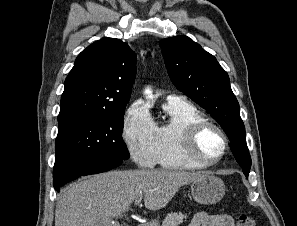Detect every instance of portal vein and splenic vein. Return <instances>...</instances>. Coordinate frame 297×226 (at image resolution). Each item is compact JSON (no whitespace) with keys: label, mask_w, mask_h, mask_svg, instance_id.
<instances>
[{"label":"portal vein and splenic vein","mask_w":297,"mask_h":226,"mask_svg":"<svg viewBox=\"0 0 297 226\" xmlns=\"http://www.w3.org/2000/svg\"><path fill=\"white\" fill-rule=\"evenodd\" d=\"M141 200H142V197H137V198L135 199V205L140 204V203H141Z\"/></svg>","instance_id":"1"}]
</instances>
